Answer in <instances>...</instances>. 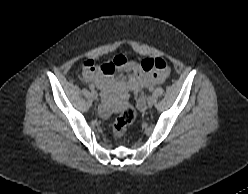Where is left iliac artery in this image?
<instances>
[{
    "label": "left iliac artery",
    "mask_w": 248,
    "mask_h": 194,
    "mask_svg": "<svg viewBox=\"0 0 248 194\" xmlns=\"http://www.w3.org/2000/svg\"><path fill=\"white\" fill-rule=\"evenodd\" d=\"M150 91L152 92L153 91V88H150Z\"/></svg>",
    "instance_id": "1"
}]
</instances>
